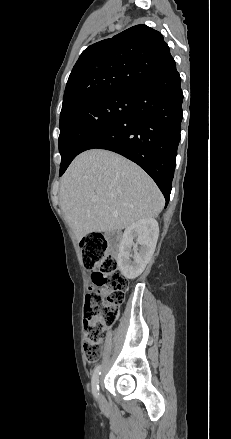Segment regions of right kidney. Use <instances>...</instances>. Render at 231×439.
<instances>
[{
  "instance_id": "1",
  "label": "right kidney",
  "mask_w": 231,
  "mask_h": 439,
  "mask_svg": "<svg viewBox=\"0 0 231 439\" xmlns=\"http://www.w3.org/2000/svg\"><path fill=\"white\" fill-rule=\"evenodd\" d=\"M158 235V222L154 218L139 220L126 228L119 246L117 264L127 279H135L143 272L154 253Z\"/></svg>"
}]
</instances>
